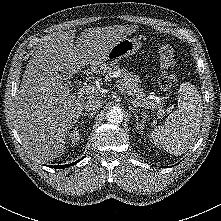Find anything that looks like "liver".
Instances as JSON below:
<instances>
[{"mask_svg": "<svg viewBox=\"0 0 221 221\" xmlns=\"http://www.w3.org/2000/svg\"><path fill=\"white\" fill-rule=\"evenodd\" d=\"M137 26L85 29L77 44L75 30L48 36L32 54L16 93L14 124L32 156L52 161L64 144L84 107L83 94H72L59 72L76 74L92 67L119 40Z\"/></svg>", "mask_w": 221, "mask_h": 221, "instance_id": "6515ba94", "label": "liver"}]
</instances>
